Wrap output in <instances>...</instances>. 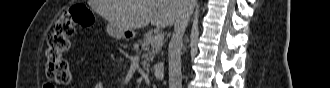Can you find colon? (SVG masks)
Masks as SVG:
<instances>
[{
	"label": "colon",
	"instance_id": "1",
	"mask_svg": "<svg viewBox=\"0 0 330 88\" xmlns=\"http://www.w3.org/2000/svg\"><path fill=\"white\" fill-rule=\"evenodd\" d=\"M94 22L92 12L81 3H77L64 12L55 21L53 31L48 36L46 50V76L57 84L67 85L72 81L69 62L64 57L70 46V37L75 27L89 28Z\"/></svg>",
	"mask_w": 330,
	"mask_h": 88
}]
</instances>
